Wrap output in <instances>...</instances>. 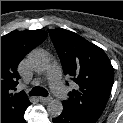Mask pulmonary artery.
I'll return each mask as SVG.
<instances>
[{"label":"pulmonary artery","instance_id":"e3ab8cb5","mask_svg":"<svg viewBox=\"0 0 123 123\" xmlns=\"http://www.w3.org/2000/svg\"><path fill=\"white\" fill-rule=\"evenodd\" d=\"M47 77L50 82V86L54 94L60 99L67 98V90L61 82V73L58 65L52 64L47 71Z\"/></svg>","mask_w":123,"mask_h":123}]
</instances>
